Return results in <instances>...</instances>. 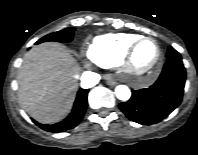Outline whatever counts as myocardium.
I'll list each match as a JSON object with an SVG mask.
<instances>
[{"label":"myocardium","mask_w":198,"mask_h":155,"mask_svg":"<svg viewBox=\"0 0 198 155\" xmlns=\"http://www.w3.org/2000/svg\"><path fill=\"white\" fill-rule=\"evenodd\" d=\"M145 41H152L153 43H155L157 47V55L154 62L148 68L138 69L134 65V55L138 46ZM162 59H163V51L161 49L159 42L152 37L141 36L138 39H136L126 50L124 56L121 59V63L123 67V72L126 75L137 81H140V80L152 79L157 74Z\"/></svg>","instance_id":"1"}]
</instances>
